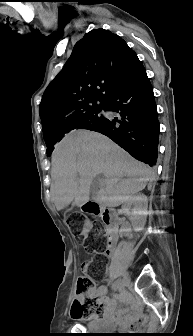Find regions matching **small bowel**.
Segmentation results:
<instances>
[{
    "label": "small bowel",
    "instance_id": "c3829d8e",
    "mask_svg": "<svg viewBox=\"0 0 193 336\" xmlns=\"http://www.w3.org/2000/svg\"><path fill=\"white\" fill-rule=\"evenodd\" d=\"M88 296L100 298L103 304V318L109 325L129 326L143 321L141 316L130 311L132 305L128 296L121 299V307L117 305L114 299L106 296V288L104 286L93 288L88 293Z\"/></svg>",
    "mask_w": 193,
    "mask_h": 336
}]
</instances>
